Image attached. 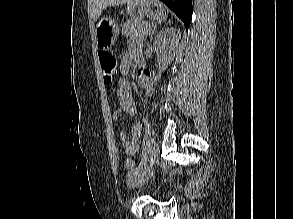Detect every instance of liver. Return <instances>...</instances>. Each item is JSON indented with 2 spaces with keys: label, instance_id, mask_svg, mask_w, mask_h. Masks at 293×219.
<instances>
[{
  "label": "liver",
  "instance_id": "6515ba94",
  "mask_svg": "<svg viewBox=\"0 0 293 219\" xmlns=\"http://www.w3.org/2000/svg\"><path fill=\"white\" fill-rule=\"evenodd\" d=\"M139 0H93V19L100 17L103 9L109 6H118L123 4H130Z\"/></svg>",
  "mask_w": 293,
  "mask_h": 219
}]
</instances>
